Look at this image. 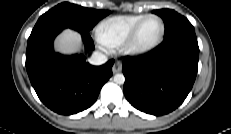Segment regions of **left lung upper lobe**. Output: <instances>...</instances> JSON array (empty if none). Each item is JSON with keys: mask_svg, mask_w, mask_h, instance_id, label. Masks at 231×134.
<instances>
[{"mask_svg": "<svg viewBox=\"0 0 231 134\" xmlns=\"http://www.w3.org/2000/svg\"><path fill=\"white\" fill-rule=\"evenodd\" d=\"M153 13L162 17L165 22L164 38L185 31H194V27L188 21V19L178 14L174 10L160 9L154 10Z\"/></svg>", "mask_w": 231, "mask_h": 134, "instance_id": "5c2ea615", "label": "left lung upper lobe"}]
</instances>
